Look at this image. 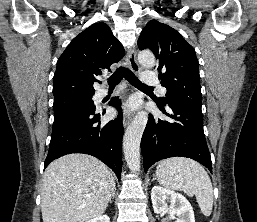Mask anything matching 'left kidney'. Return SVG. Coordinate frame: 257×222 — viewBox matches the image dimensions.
<instances>
[{"instance_id": "left-kidney-1", "label": "left kidney", "mask_w": 257, "mask_h": 222, "mask_svg": "<svg viewBox=\"0 0 257 222\" xmlns=\"http://www.w3.org/2000/svg\"><path fill=\"white\" fill-rule=\"evenodd\" d=\"M151 200L156 214L176 215L178 218L175 222H195L193 208L182 194L154 186L151 190Z\"/></svg>"}]
</instances>
